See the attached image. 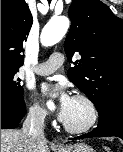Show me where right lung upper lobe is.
I'll return each instance as SVG.
<instances>
[{"label":"right lung upper lobe","mask_w":123,"mask_h":152,"mask_svg":"<svg viewBox=\"0 0 123 152\" xmlns=\"http://www.w3.org/2000/svg\"><path fill=\"white\" fill-rule=\"evenodd\" d=\"M33 22L25 0H1V67L19 69Z\"/></svg>","instance_id":"cb5924a9"}]
</instances>
